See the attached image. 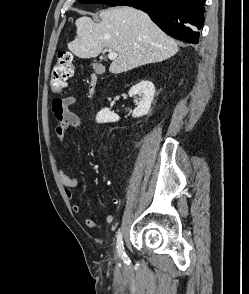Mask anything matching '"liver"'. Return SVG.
<instances>
[{
	"mask_svg": "<svg viewBox=\"0 0 249 294\" xmlns=\"http://www.w3.org/2000/svg\"><path fill=\"white\" fill-rule=\"evenodd\" d=\"M101 21L90 17L76 20V37L68 49L77 57H97L104 47L118 56L110 65L114 74L142 65L164 61L175 55L179 47L149 16L141 10L120 6L101 11Z\"/></svg>",
	"mask_w": 249,
	"mask_h": 294,
	"instance_id": "liver-1",
	"label": "liver"
}]
</instances>
